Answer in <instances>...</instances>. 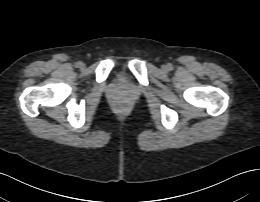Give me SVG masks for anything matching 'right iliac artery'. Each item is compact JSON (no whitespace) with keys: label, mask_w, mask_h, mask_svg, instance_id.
<instances>
[{"label":"right iliac artery","mask_w":260,"mask_h":202,"mask_svg":"<svg viewBox=\"0 0 260 202\" xmlns=\"http://www.w3.org/2000/svg\"><path fill=\"white\" fill-rule=\"evenodd\" d=\"M80 64H81V62L79 61V62H77V63L75 64V66H76V67H80Z\"/></svg>","instance_id":"82829eb1"}]
</instances>
